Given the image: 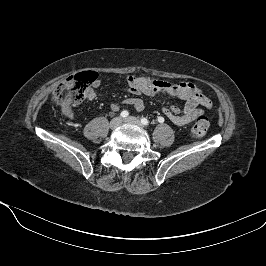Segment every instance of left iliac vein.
Masks as SVG:
<instances>
[{"mask_svg":"<svg viewBox=\"0 0 266 266\" xmlns=\"http://www.w3.org/2000/svg\"><path fill=\"white\" fill-rule=\"evenodd\" d=\"M124 121L126 123H131V124H135L137 126L142 127V124H141L140 120L138 118H136V117L130 116V117L126 118Z\"/></svg>","mask_w":266,"mask_h":266,"instance_id":"obj_1","label":"left iliac vein"}]
</instances>
